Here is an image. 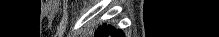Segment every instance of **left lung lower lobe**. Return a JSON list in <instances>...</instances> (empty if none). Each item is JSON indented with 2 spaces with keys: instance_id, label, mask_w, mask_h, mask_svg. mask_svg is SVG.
<instances>
[{
  "instance_id": "1",
  "label": "left lung lower lobe",
  "mask_w": 219,
  "mask_h": 37,
  "mask_svg": "<svg viewBox=\"0 0 219 37\" xmlns=\"http://www.w3.org/2000/svg\"><path fill=\"white\" fill-rule=\"evenodd\" d=\"M107 36H112V37H124V34L121 30H115L113 27H111V29L104 33L101 36H97V37H107Z\"/></svg>"
}]
</instances>
